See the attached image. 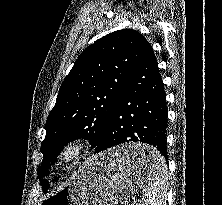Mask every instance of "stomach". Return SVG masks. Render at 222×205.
Segmentation results:
<instances>
[{
	"mask_svg": "<svg viewBox=\"0 0 222 205\" xmlns=\"http://www.w3.org/2000/svg\"><path fill=\"white\" fill-rule=\"evenodd\" d=\"M137 152H158L142 143L123 145L89 158L68 184L40 199L39 205H116L146 182L150 165L131 158Z\"/></svg>",
	"mask_w": 222,
	"mask_h": 205,
	"instance_id": "0dacf381",
	"label": "stomach"
}]
</instances>
